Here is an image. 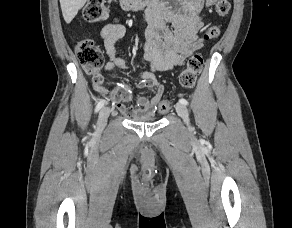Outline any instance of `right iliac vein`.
<instances>
[{"label":"right iliac vein","instance_id":"1","mask_svg":"<svg viewBox=\"0 0 292 228\" xmlns=\"http://www.w3.org/2000/svg\"><path fill=\"white\" fill-rule=\"evenodd\" d=\"M110 115V108L109 107H103L98 116V121H97V133L100 134L104 130L107 119Z\"/></svg>","mask_w":292,"mask_h":228}]
</instances>
